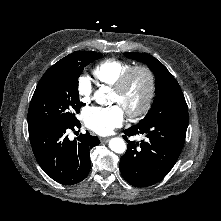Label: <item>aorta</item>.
Segmentation results:
<instances>
[{"label": "aorta", "mask_w": 221, "mask_h": 221, "mask_svg": "<svg viewBox=\"0 0 221 221\" xmlns=\"http://www.w3.org/2000/svg\"><path fill=\"white\" fill-rule=\"evenodd\" d=\"M104 93V89H99L94 94V99L100 104L105 103L103 99L105 95ZM109 148L115 153L122 154L126 151V144L122 138L114 137L109 141Z\"/></svg>", "instance_id": "1"}]
</instances>
